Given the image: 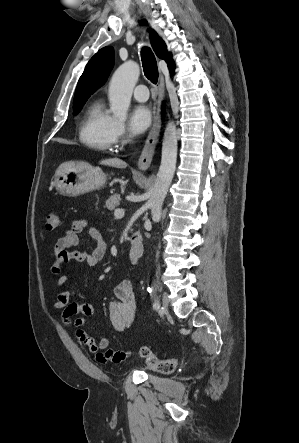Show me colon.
I'll use <instances>...</instances> for the list:
<instances>
[{
	"label": "colon",
	"mask_w": 299,
	"mask_h": 443,
	"mask_svg": "<svg viewBox=\"0 0 299 443\" xmlns=\"http://www.w3.org/2000/svg\"><path fill=\"white\" fill-rule=\"evenodd\" d=\"M60 219L55 211H48L45 220V229L52 231L59 226ZM140 355L156 371L161 373H171L177 366V361L172 358H160L149 346H142Z\"/></svg>",
	"instance_id": "5ec220e1"
}]
</instances>
